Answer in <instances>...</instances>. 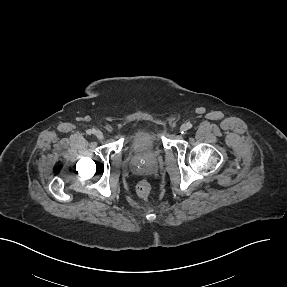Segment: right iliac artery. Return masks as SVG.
Listing matches in <instances>:
<instances>
[{"label": "right iliac artery", "mask_w": 287, "mask_h": 287, "mask_svg": "<svg viewBox=\"0 0 287 287\" xmlns=\"http://www.w3.org/2000/svg\"><path fill=\"white\" fill-rule=\"evenodd\" d=\"M96 131L95 129H89L87 130V134H94Z\"/></svg>", "instance_id": "obj_1"}]
</instances>
